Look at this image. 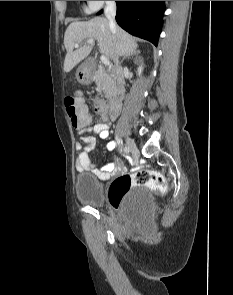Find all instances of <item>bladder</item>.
I'll list each match as a JSON object with an SVG mask.
<instances>
[{
  "label": "bladder",
  "instance_id": "obj_1",
  "mask_svg": "<svg viewBox=\"0 0 233 295\" xmlns=\"http://www.w3.org/2000/svg\"><path fill=\"white\" fill-rule=\"evenodd\" d=\"M75 192L78 200L84 204L102 207L105 202L104 185L94 176L80 174L75 180ZM130 215L143 222L151 218L155 211V202L149 188L137 189L127 206Z\"/></svg>",
  "mask_w": 233,
  "mask_h": 295
}]
</instances>
